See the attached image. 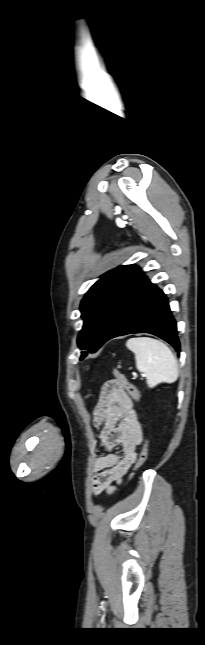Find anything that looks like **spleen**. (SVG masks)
<instances>
[{
	"mask_svg": "<svg viewBox=\"0 0 205 645\" xmlns=\"http://www.w3.org/2000/svg\"><path fill=\"white\" fill-rule=\"evenodd\" d=\"M127 348L135 354L136 368L144 373L149 388L174 383L179 375L177 360L163 342L149 338H130Z\"/></svg>",
	"mask_w": 205,
	"mask_h": 645,
	"instance_id": "spleen-1",
	"label": "spleen"
}]
</instances>
